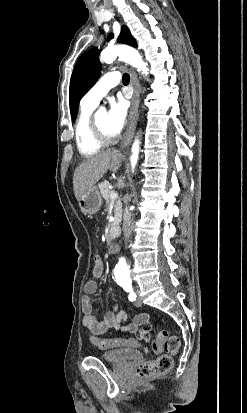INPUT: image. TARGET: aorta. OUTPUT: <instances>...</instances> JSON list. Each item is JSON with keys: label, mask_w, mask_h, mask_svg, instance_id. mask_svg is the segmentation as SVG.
<instances>
[{"label": "aorta", "mask_w": 247, "mask_h": 413, "mask_svg": "<svg viewBox=\"0 0 247 413\" xmlns=\"http://www.w3.org/2000/svg\"><path fill=\"white\" fill-rule=\"evenodd\" d=\"M117 57H119L124 62L135 67L138 72H142L144 75L148 74L147 63H145L139 54V52L127 45H115L105 48L100 55V59L105 63H112ZM139 140L135 139L132 145V155L130 158L132 169L135 168L139 156ZM118 272L120 277L125 278L128 276L129 270L126 263L121 260L118 264Z\"/></svg>", "instance_id": "obj_1"}]
</instances>
